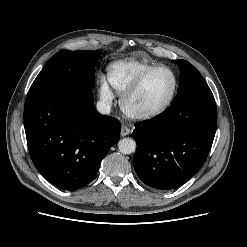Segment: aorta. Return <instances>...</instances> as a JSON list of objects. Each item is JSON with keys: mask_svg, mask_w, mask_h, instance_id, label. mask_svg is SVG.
Returning <instances> with one entry per match:
<instances>
[{"mask_svg": "<svg viewBox=\"0 0 247 247\" xmlns=\"http://www.w3.org/2000/svg\"><path fill=\"white\" fill-rule=\"evenodd\" d=\"M118 149L122 154H132L136 150V142L132 138H123L118 142Z\"/></svg>", "mask_w": 247, "mask_h": 247, "instance_id": "762f6f07", "label": "aorta"}]
</instances>
